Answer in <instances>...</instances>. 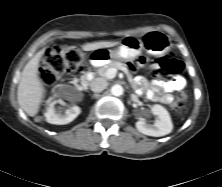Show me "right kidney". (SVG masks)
<instances>
[{
	"mask_svg": "<svg viewBox=\"0 0 222 187\" xmlns=\"http://www.w3.org/2000/svg\"><path fill=\"white\" fill-rule=\"evenodd\" d=\"M59 101L53 98L49 99L47 111L45 113L46 121L56 125L68 124L80 114L81 109L77 105H72L66 110H57L55 104Z\"/></svg>",
	"mask_w": 222,
	"mask_h": 187,
	"instance_id": "ca27d5eb",
	"label": "right kidney"
}]
</instances>
